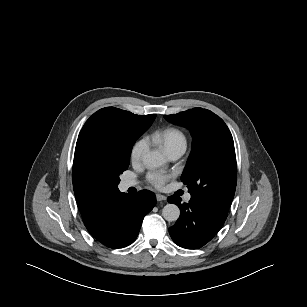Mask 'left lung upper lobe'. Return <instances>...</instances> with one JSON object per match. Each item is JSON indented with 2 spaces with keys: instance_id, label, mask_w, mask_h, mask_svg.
<instances>
[{
  "instance_id": "5c2ea615",
  "label": "left lung upper lobe",
  "mask_w": 307,
  "mask_h": 307,
  "mask_svg": "<svg viewBox=\"0 0 307 307\" xmlns=\"http://www.w3.org/2000/svg\"><path fill=\"white\" fill-rule=\"evenodd\" d=\"M164 117L188 128L193 137L192 153L181 176L191 199L226 220L237 182L234 142L227 125L202 108Z\"/></svg>"
}]
</instances>
